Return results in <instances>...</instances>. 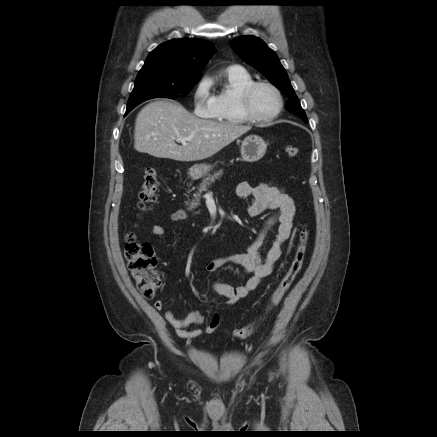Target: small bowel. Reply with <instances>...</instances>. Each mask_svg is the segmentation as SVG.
<instances>
[{
    "label": "small bowel",
    "instance_id": "c3829d8e",
    "mask_svg": "<svg viewBox=\"0 0 437 437\" xmlns=\"http://www.w3.org/2000/svg\"><path fill=\"white\" fill-rule=\"evenodd\" d=\"M236 193L239 198L247 201V213L250 216H258L267 210L274 211L262 228L259 230L255 240L248 247L247 251L240 254H233L226 257L211 260L206 269L208 272H216L227 263L241 266L245 272L250 274L249 279L241 285L231 286L221 281L213 283V290L227 300L228 305L235 304L239 299L246 297L253 291L260 282L270 275L277 262L282 256L283 246L289 239L294 228L295 204L293 199L285 192L282 186L274 182H263L256 186H251L247 182H242L237 186ZM170 218L174 222H180L188 218V213L184 209H178L171 213ZM278 223L275 237L263 257L259 248L268 230ZM150 233L158 238L164 236V228L160 225H153ZM154 307L157 310L163 308L161 301H156ZM165 319L175 329L181 338H194L206 333H213L220 325V318L214 314L205 330L195 328L189 330L190 326H200L204 322L203 315L197 310H191L184 318L176 317L172 311L167 310L164 314Z\"/></svg>",
    "mask_w": 437,
    "mask_h": 437
}]
</instances>
